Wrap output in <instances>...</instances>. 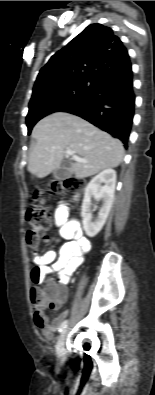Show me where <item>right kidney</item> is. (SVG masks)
<instances>
[{
	"label": "right kidney",
	"mask_w": 155,
	"mask_h": 395,
	"mask_svg": "<svg viewBox=\"0 0 155 395\" xmlns=\"http://www.w3.org/2000/svg\"><path fill=\"white\" fill-rule=\"evenodd\" d=\"M115 185L116 172L113 169L102 171L92 178L87 185L82 203L81 216L83 219V228L89 237L96 236L105 224L114 200ZM92 198L103 201L98 216L93 221L92 212L94 210L91 208Z\"/></svg>",
	"instance_id": "right-kidney-1"
}]
</instances>
